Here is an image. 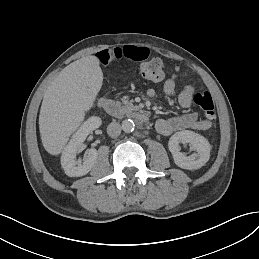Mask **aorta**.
Wrapping results in <instances>:
<instances>
[{
	"label": "aorta",
	"mask_w": 259,
	"mask_h": 259,
	"mask_svg": "<svg viewBox=\"0 0 259 259\" xmlns=\"http://www.w3.org/2000/svg\"><path fill=\"white\" fill-rule=\"evenodd\" d=\"M135 124L131 119H126L122 122V129L125 133L133 132Z\"/></svg>",
	"instance_id": "aorta-1"
}]
</instances>
